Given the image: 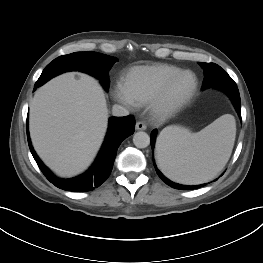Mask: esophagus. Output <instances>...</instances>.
I'll use <instances>...</instances> for the list:
<instances>
[{
  "label": "esophagus",
  "mask_w": 263,
  "mask_h": 263,
  "mask_svg": "<svg viewBox=\"0 0 263 263\" xmlns=\"http://www.w3.org/2000/svg\"><path fill=\"white\" fill-rule=\"evenodd\" d=\"M147 126L143 122L136 123V130H146Z\"/></svg>",
  "instance_id": "obj_1"
}]
</instances>
